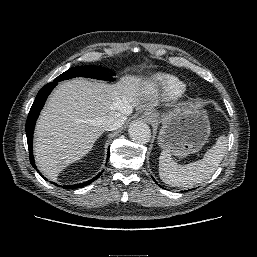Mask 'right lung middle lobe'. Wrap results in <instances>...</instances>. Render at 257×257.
I'll return each mask as SVG.
<instances>
[{"label":"right lung middle lobe","instance_id":"1","mask_svg":"<svg viewBox=\"0 0 257 257\" xmlns=\"http://www.w3.org/2000/svg\"><path fill=\"white\" fill-rule=\"evenodd\" d=\"M114 75V72H110L109 69L100 66H77L65 71L60 76L55 78L54 81L59 82L74 77H88L99 80L114 81Z\"/></svg>","mask_w":257,"mask_h":257}]
</instances>
